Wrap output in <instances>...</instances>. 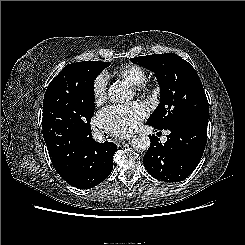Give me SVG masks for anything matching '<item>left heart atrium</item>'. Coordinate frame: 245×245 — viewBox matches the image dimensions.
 Wrapping results in <instances>:
<instances>
[{"mask_svg":"<svg viewBox=\"0 0 245 245\" xmlns=\"http://www.w3.org/2000/svg\"><path fill=\"white\" fill-rule=\"evenodd\" d=\"M147 115V108L140 102L127 105H113L100 112L101 123L116 135H128Z\"/></svg>","mask_w":245,"mask_h":245,"instance_id":"obj_1","label":"left heart atrium"}]
</instances>
